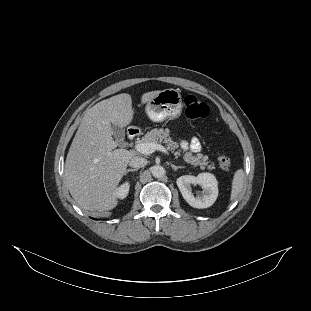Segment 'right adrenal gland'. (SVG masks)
<instances>
[{"mask_svg": "<svg viewBox=\"0 0 311 311\" xmlns=\"http://www.w3.org/2000/svg\"><path fill=\"white\" fill-rule=\"evenodd\" d=\"M139 169H129L126 173L125 176H128V174L131 172H137Z\"/></svg>", "mask_w": 311, "mask_h": 311, "instance_id": "1", "label": "right adrenal gland"}]
</instances>
